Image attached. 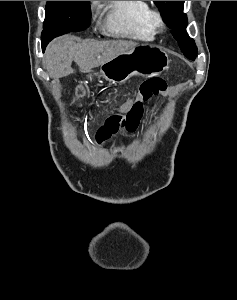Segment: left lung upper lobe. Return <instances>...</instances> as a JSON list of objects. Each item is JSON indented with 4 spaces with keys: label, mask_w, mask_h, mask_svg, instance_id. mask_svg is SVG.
Returning <instances> with one entry per match:
<instances>
[{
    "label": "left lung upper lobe",
    "mask_w": 237,
    "mask_h": 300,
    "mask_svg": "<svg viewBox=\"0 0 237 300\" xmlns=\"http://www.w3.org/2000/svg\"><path fill=\"white\" fill-rule=\"evenodd\" d=\"M185 1H154L161 11L164 22L172 29V35L178 41L184 55L195 60L197 47L186 32L187 16L183 13Z\"/></svg>",
    "instance_id": "5c2ea615"
}]
</instances>
